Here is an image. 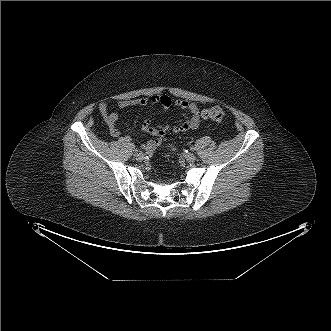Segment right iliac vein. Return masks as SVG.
Segmentation results:
<instances>
[{"mask_svg": "<svg viewBox=\"0 0 331 331\" xmlns=\"http://www.w3.org/2000/svg\"><path fill=\"white\" fill-rule=\"evenodd\" d=\"M135 157H136V160L142 161L145 158V155H144V153L139 152V153L136 154Z\"/></svg>", "mask_w": 331, "mask_h": 331, "instance_id": "1", "label": "right iliac vein"}]
</instances>
